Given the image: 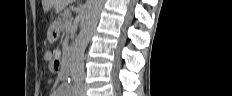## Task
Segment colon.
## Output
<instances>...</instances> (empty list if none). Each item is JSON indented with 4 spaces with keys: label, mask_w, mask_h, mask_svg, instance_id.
I'll return each mask as SVG.
<instances>
[{
    "label": "colon",
    "mask_w": 232,
    "mask_h": 96,
    "mask_svg": "<svg viewBox=\"0 0 232 96\" xmlns=\"http://www.w3.org/2000/svg\"><path fill=\"white\" fill-rule=\"evenodd\" d=\"M46 59L55 69H57L60 66L59 53L57 50L55 49L48 50L46 52Z\"/></svg>",
    "instance_id": "obj_1"
}]
</instances>
